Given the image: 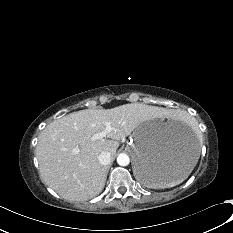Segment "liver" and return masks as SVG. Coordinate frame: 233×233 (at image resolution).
I'll use <instances>...</instances> for the list:
<instances>
[{"label": "liver", "instance_id": "obj_1", "mask_svg": "<svg viewBox=\"0 0 233 233\" xmlns=\"http://www.w3.org/2000/svg\"><path fill=\"white\" fill-rule=\"evenodd\" d=\"M172 110L130 103L111 109H85L70 113L46 126L36 147L40 176L62 198L86 201L101 193L106 181V167L98 155L113 157L124 139L137 126L154 119L173 118ZM110 123L107 139L92 140L95 133Z\"/></svg>", "mask_w": 233, "mask_h": 233}]
</instances>
